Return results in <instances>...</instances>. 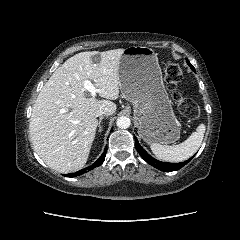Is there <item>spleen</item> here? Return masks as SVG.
<instances>
[{
    "mask_svg": "<svg viewBox=\"0 0 240 240\" xmlns=\"http://www.w3.org/2000/svg\"><path fill=\"white\" fill-rule=\"evenodd\" d=\"M206 127L200 124L184 142L178 145H161L153 143L150 148L153 154L160 160L167 162H182L190 158L199 149Z\"/></svg>",
    "mask_w": 240,
    "mask_h": 240,
    "instance_id": "spleen-1",
    "label": "spleen"
}]
</instances>
